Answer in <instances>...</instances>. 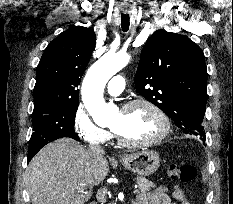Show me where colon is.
<instances>
[{
  "mask_svg": "<svg viewBox=\"0 0 233 204\" xmlns=\"http://www.w3.org/2000/svg\"><path fill=\"white\" fill-rule=\"evenodd\" d=\"M167 172L171 181L183 184L191 183L198 175L196 166L192 164H172L168 166Z\"/></svg>",
  "mask_w": 233,
  "mask_h": 204,
  "instance_id": "5ec220e1",
  "label": "colon"
}]
</instances>
